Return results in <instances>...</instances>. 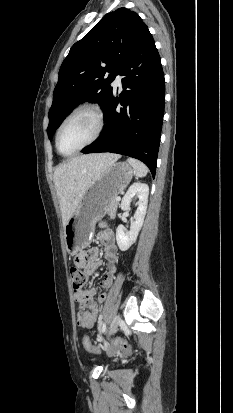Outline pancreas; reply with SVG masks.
<instances>
[{"instance_id":"cf45deb5","label":"pancreas","mask_w":233,"mask_h":413,"mask_svg":"<svg viewBox=\"0 0 233 413\" xmlns=\"http://www.w3.org/2000/svg\"><path fill=\"white\" fill-rule=\"evenodd\" d=\"M117 206H118V201H116V198L110 199V201L108 202L106 206V212L108 213L110 217L115 216Z\"/></svg>"}]
</instances>
